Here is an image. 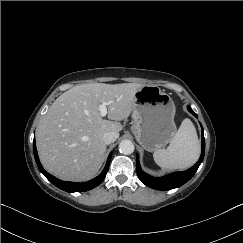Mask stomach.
<instances>
[{
	"label": "stomach",
	"mask_w": 243,
	"mask_h": 243,
	"mask_svg": "<svg viewBox=\"0 0 243 243\" xmlns=\"http://www.w3.org/2000/svg\"><path fill=\"white\" fill-rule=\"evenodd\" d=\"M175 104L155 85H143L135 93L131 132L147 151L166 146L176 133Z\"/></svg>",
	"instance_id": "obj_1"
}]
</instances>
